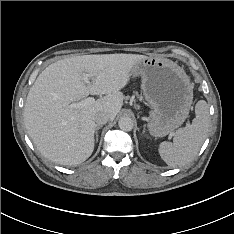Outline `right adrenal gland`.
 Returning <instances> with one entry per match:
<instances>
[{
  "label": "right adrenal gland",
  "instance_id": "2a0ac1e0",
  "mask_svg": "<svg viewBox=\"0 0 234 234\" xmlns=\"http://www.w3.org/2000/svg\"><path fill=\"white\" fill-rule=\"evenodd\" d=\"M102 127V125H98L96 126V129H95V138H96V141H98V130Z\"/></svg>",
  "mask_w": 234,
  "mask_h": 234
}]
</instances>
